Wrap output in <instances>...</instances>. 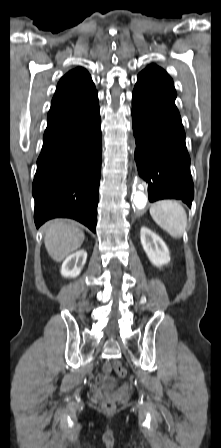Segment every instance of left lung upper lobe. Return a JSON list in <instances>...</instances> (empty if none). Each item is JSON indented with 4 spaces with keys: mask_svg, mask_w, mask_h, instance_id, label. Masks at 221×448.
Listing matches in <instances>:
<instances>
[{
    "mask_svg": "<svg viewBox=\"0 0 221 448\" xmlns=\"http://www.w3.org/2000/svg\"><path fill=\"white\" fill-rule=\"evenodd\" d=\"M135 86L156 97L175 103L177 94L173 80L165 70L155 64L147 66L138 74Z\"/></svg>",
    "mask_w": 221,
    "mask_h": 448,
    "instance_id": "5c2ea615",
    "label": "left lung upper lobe"
}]
</instances>
